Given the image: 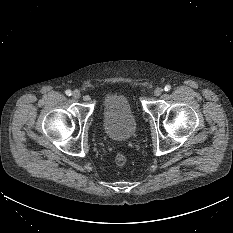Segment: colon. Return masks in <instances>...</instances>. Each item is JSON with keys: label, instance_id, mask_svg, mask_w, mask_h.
I'll return each mask as SVG.
<instances>
[{"label": "colon", "instance_id": "1", "mask_svg": "<svg viewBox=\"0 0 233 233\" xmlns=\"http://www.w3.org/2000/svg\"><path fill=\"white\" fill-rule=\"evenodd\" d=\"M127 162V158L124 154L122 153H119L116 155L115 157V163L118 165V166H123L125 165Z\"/></svg>", "mask_w": 233, "mask_h": 233}]
</instances>
